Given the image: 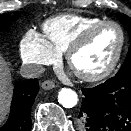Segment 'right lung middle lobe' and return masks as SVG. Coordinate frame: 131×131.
Masks as SVG:
<instances>
[{
    "mask_svg": "<svg viewBox=\"0 0 131 131\" xmlns=\"http://www.w3.org/2000/svg\"><path fill=\"white\" fill-rule=\"evenodd\" d=\"M20 16V12L11 16L9 13L0 14V32L9 25V23L15 21Z\"/></svg>",
    "mask_w": 131,
    "mask_h": 131,
    "instance_id": "1",
    "label": "right lung middle lobe"
}]
</instances>
